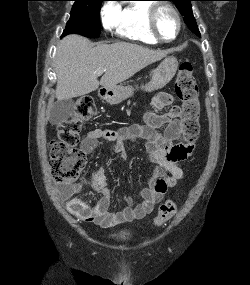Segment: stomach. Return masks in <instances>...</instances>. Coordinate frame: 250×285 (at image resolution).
<instances>
[{
    "mask_svg": "<svg viewBox=\"0 0 250 285\" xmlns=\"http://www.w3.org/2000/svg\"><path fill=\"white\" fill-rule=\"evenodd\" d=\"M178 68V61L175 57H166L160 65L154 70L149 83L142 86L145 91L151 92L162 89L175 76ZM134 88L129 85H119L114 88L105 89L103 98L111 105L119 104L125 99L131 97Z\"/></svg>",
    "mask_w": 250,
    "mask_h": 285,
    "instance_id": "obj_1",
    "label": "stomach"
}]
</instances>
